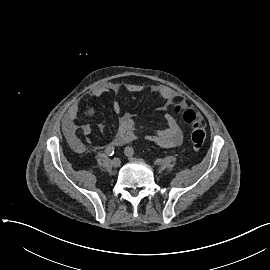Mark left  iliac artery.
Instances as JSON below:
<instances>
[{"mask_svg":"<svg viewBox=\"0 0 270 270\" xmlns=\"http://www.w3.org/2000/svg\"><path fill=\"white\" fill-rule=\"evenodd\" d=\"M125 153H128L130 155H134V149L132 147H126L125 148Z\"/></svg>","mask_w":270,"mask_h":270,"instance_id":"1","label":"left iliac artery"}]
</instances>
